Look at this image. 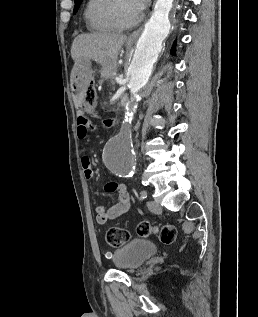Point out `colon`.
Here are the masks:
<instances>
[{
    "label": "colon",
    "mask_w": 258,
    "mask_h": 317,
    "mask_svg": "<svg viewBox=\"0 0 258 317\" xmlns=\"http://www.w3.org/2000/svg\"><path fill=\"white\" fill-rule=\"evenodd\" d=\"M96 88L93 82L88 83L82 90V106L85 110L92 112L96 107ZM138 235L147 237L150 235H158L161 242L170 244L175 240L176 230L172 225L162 227H154L147 222H142L136 229ZM130 240L129 231L112 227L106 232V242L112 247H119Z\"/></svg>",
    "instance_id": "obj_1"
}]
</instances>
